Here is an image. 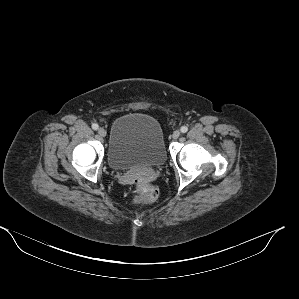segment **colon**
<instances>
[{
    "label": "colon",
    "mask_w": 299,
    "mask_h": 299,
    "mask_svg": "<svg viewBox=\"0 0 299 299\" xmlns=\"http://www.w3.org/2000/svg\"><path fill=\"white\" fill-rule=\"evenodd\" d=\"M136 189L138 196L133 200V203L136 205L153 202L158 197V190L150 184L141 182L137 185Z\"/></svg>",
    "instance_id": "colon-1"
}]
</instances>
